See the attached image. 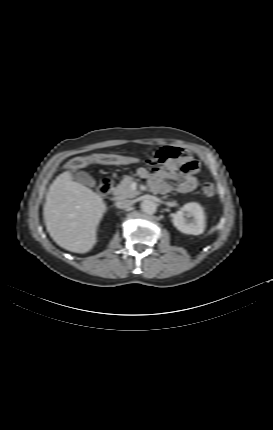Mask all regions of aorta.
Instances as JSON below:
<instances>
[{"label":"aorta","instance_id":"aorta-1","mask_svg":"<svg viewBox=\"0 0 273 430\" xmlns=\"http://www.w3.org/2000/svg\"><path fill=\"white\" fill-rule=\"evenodd\" d=\"M141 209L144 213L152 215L156 212L157 206L151 200H144L141 204Z\"/></svg>","mask_w":273,"mask_h":430}]
</instances>
